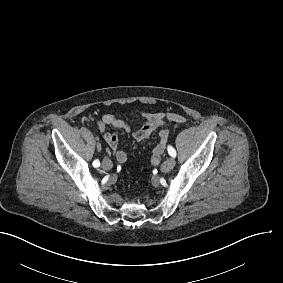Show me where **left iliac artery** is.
<instances>
[{"label":"left iliac artery","mask_w":283,"mask_h":283,"mask_svg":"<svg viewBox=\"0 0 283 283\" xmlns=\"http://www.w3.org/2000/svg\"><path fill=\"white\" fill-rule=\"evenodd\" d=\"M168 153L170 156L175 157L176 156V151L172 146H168Z\"/></svg>","instance_id":"44dca946"}]
</instances>
